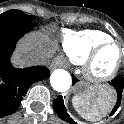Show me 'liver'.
Wrapping results in <instances>:
<instances>
[{
    "instance_id": "1",
    "label": "liver",
    "mask_w": 124,
    "mask_h": 124,
    "mask_svg": "<svg viewBox=\"0 0 124 124\" xmlns=\"http://www.w3.org/2000/svg\"><path fill=\"white\" fill-rule=\"evenodd\" d=\"M49 43L50 39L47 33H32L20 42L18 53L24 61H29L30 55L45 58L49 54Z\"/></svg>"
}]
</instances>
